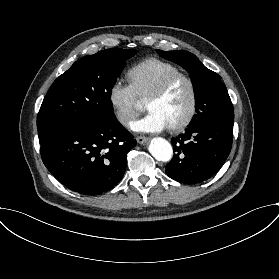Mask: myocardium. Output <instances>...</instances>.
<instances>
[{"label": "myocardium", "instance_id": "1", "mask_svg": "<svg viewBox=\"0 0 279 279\" xmlns=\"http://www.w3.org/2000/svg\"><path fill=\"white\" fill-rule=\"evenodd\" d=\"M185 80L191 89V103L185 118L178 124L169 126L173 132H179L187 128L193 121L198 108V89L194 79L187 73H177L166 78L159 87L147 98V103L156 101L164 97L168 91L179 81Z\"/></svg>", "mask_w": 279, "mask_h": 279}]
</instances>
